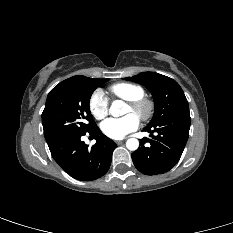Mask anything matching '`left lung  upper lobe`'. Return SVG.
I'll list each match as a JSON object with an SVG mask.
<instances>
[{
  "label": "left lung upper lobe",
  "instance_id": "5c2ea615",
  "mask_svg": "<svg viewBox=\"0 0 233 233\" xmlns=\"http://www.w3.org/2000/svg\"><path fill=\"white\" fill-rule=\"evenodd\" d=\"M124 79L144 85L153 95L154 115L147 127H152L171 116L189 112L184 92L172 78L155 72H143Z\"/></svg>",
  "mask_w": 233,
  "mask_h": 233
}]
</instances>
